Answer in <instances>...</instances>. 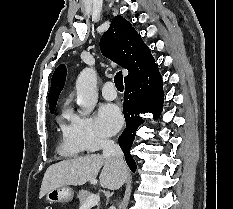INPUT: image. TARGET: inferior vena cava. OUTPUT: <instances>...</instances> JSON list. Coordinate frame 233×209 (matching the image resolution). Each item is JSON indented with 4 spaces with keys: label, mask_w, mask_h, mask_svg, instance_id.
<instances>
[{
    "label": "inferior vena cava",
    "mask_w": 233,
    "mask_h": 209,
    "mask_svg": "<svg viewBox=\"0 0 233 209\" xmlns=\"http://www.w3.org/2000/svg\"><path fill=\"white\" fill-rule=\"evenodd\" d=\"M103 156L108 159H114L119 165L124 166L123 152L119 145L114 141L104 138L101 141Z\"/></svg>",
    "instance_id": "obj_1"
}]
</instances>
